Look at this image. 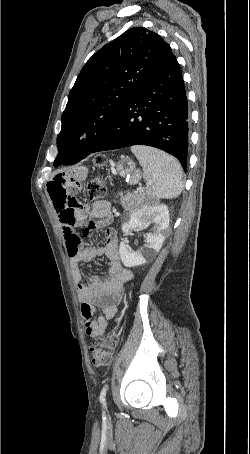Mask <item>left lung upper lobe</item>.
I'll return each instance as SVG.
<instances>
[{
    "mask_svg": "<svg viewBox=\"0 0 250 454\" xmlns=\"http://www.w3.org/2000/svg\"><path fill=\"white\" fill-rule=\"evenodd\" d=\"M172 55L170 46L144 27L127 30L96 52L69 93L55 161L88 156L128 101Z\"/></svg>",
    "mask_w": 250,
    "mask_h": 454,
    "instance_id": "5c2ea615",
    "label": "left lung upper lobe"
}]
</instances>
